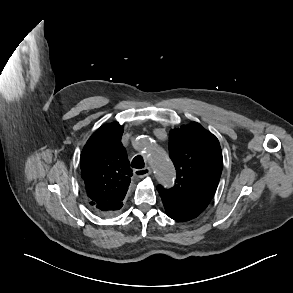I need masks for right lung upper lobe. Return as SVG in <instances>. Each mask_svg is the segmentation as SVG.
Returning <instances> with one entry per match:
<instances>
[{"instance_id": "obj_1", "label": "right lung upper lobe", "mask_w": 293, "mask_h": 293, "mask_svg": "<svg viewBox=\"0 0 293 293\" xmlns=\"http://www.w3.org/2000/svg\"><path fill=\"white\" fill-rule=\"evenodd\" d=\"M123 128L101 126L84 146L80 164L88 201L99 213L112 214L123 206L132 171L121 144Z\"/></svg>"}]
</instances>
